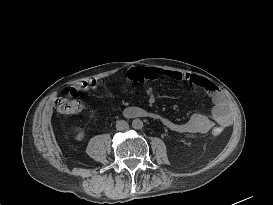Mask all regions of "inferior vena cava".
Here are the masks:
<instances>
[{
	"label": "inferior vena cava",
	"mask_w": 273,
	"mask_h": 205,
	"mask_svg": "<svg viewBox=\"0 0 273 205\" xmlns=\"http://www.w3.org/2000/svg\"><path fill=\"white\" fill-rule=\"evenodd\" d=\"M128 127H129L128 123L124 120H119L116 122V129L117 130H121V131L126 130V129H128Z\"/></svg>",
	"instance_id": "1"
}]
</instances>
